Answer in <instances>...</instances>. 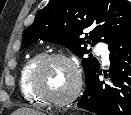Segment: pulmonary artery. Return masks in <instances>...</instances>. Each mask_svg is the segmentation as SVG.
Instances as JSON below:
<instances>
[{"mask_svg":"<svg viewBox=\"0 0 131 115\" xmlns=\"http://www.w3.org/2000/svg\"><path fill=\"white\" fill-rule=\"evenodd\" d=\"M97 51L101 55L103 63L107 64L109 62V51L107 46L104 44H98Z\"/></svg>","mask_w":131,"mask_h":115,"instance_id":"1","label":"pulmonary artery"}]
</instances>
